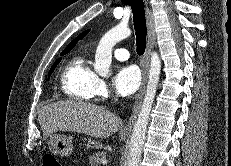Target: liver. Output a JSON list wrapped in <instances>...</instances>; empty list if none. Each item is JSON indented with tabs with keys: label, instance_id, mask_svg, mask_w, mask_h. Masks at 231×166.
Returning <instances> with one entry per match:
<instances>
[{
	"label": "liver",
	"instance_id": "liver-1",
	"mask_svg": "<svg viewBox=\"0 0 231 166\" xmlns=\"http://www.w3.org/2000/svg\"><path fill=\"white\" fill-rule=\"evenodd\" d=\"M38 122L45 139L58 131L105 139L123 125L119 117L103 107L77 100L45 105L38 113Z\"/></svg>",
	"mask_w": 231,
	"mask_h": 166
}]
</instances>
